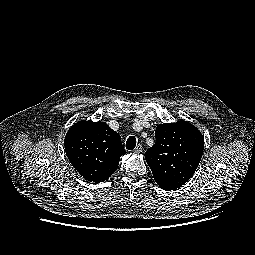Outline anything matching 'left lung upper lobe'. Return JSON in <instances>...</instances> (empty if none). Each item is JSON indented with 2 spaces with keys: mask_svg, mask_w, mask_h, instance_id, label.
<instances>
[{
  "mask_svg": "<svg viewBox=\"0 0 255 255\" xmlns=\"http://www.w3.org/2000/svg\"><path fill=\"white\" fill-rule=\"evenodd\" d=\"M155 144L145 152V159L159 187L175 190L192 177L203 154L204 138L191 123L159 124Z\"/></svg>",
  "mask_w": 255,
  "mask_h": 255,
  "instance_id": "left-lung-upper-lobe-1",
  "label": "left lung upper lobe"
}]
</instances>
